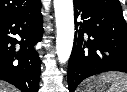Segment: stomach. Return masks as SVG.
Listing matches in <instances>:
<instances>
[{
  "instance_id": "obj_1",
  "label": "stomach",
  "mask_w": 127,
  "mask_h": 92,
  "mask_svg": "<svg viewBox=\"0 0 127 92\" xmlns=\"http://www.w3.org/2000/svg\"><path fill=\"white\" fill-rule=\"evenodd\" d=\"M105 88V84L99 81L91 80L87 83L83 92H99Z\"/></svg>"
}]
</instances>
